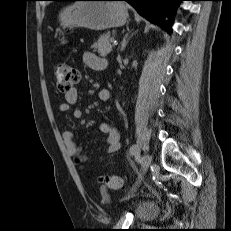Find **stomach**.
<instances>
[{
    "label": "stomach",
    "instance_id": "1",
    "mask_svg": "<svg viewBox=\"0 0 231 231\" xmlns=\"http://www.w3.org/2000/svg\"><path fill=\"white\" fill-rule=\"evenodd\" d=\"M127 18L126 5L115 0H81L63 8L58 16L63 28L95 31L123 26Z\"/></svg>",
    "mask_w": 231,
    "mask_h": 231
}]
</instances>
